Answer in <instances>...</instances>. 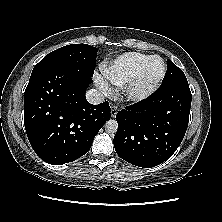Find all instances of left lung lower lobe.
<instances>
[{"mask_svg":"<svg viewBox=\"0 0 222 222\" xmlns=\"http://www.w3.org/2000/svg\"><path fill=\"white\" fill-rule=\"evenodd\" d=\"M191 97L189 85L161 86L148 98L119 111L114 137L117 154L143 168L167 160L186 133Z\"/></svg>","mask_w":222,"mask_h":222,"instance_id":"0a47b994","label":"left lung lower lobe"}]
</instances>
